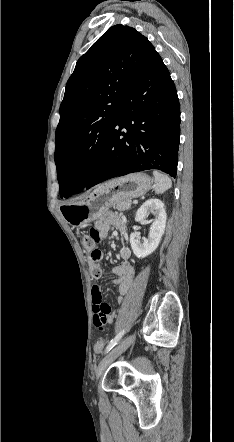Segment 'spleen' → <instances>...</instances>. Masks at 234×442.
Instances as JSON below:
<instances>
[{"label": "spleen", "instance_id": "3e777b00", "mask_svg": "<svg viewBox=\"0 0 234 442\" xmlns=\"http://www.w3.org/2000/svg\"><path fill=\"white\" fill-rule=\"evenodd\" d=\"M153 175L155 178V192L157 194H162L166 190L171 188L172 181L167 175H165L157 170L153 171Z\"/></svg>", "mask_w": 234, "mask_h": 442}]
</instances>
